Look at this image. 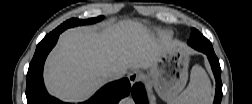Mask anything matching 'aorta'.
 Wrapping results in <instances>:
<instances>
[{
  "instance_id": "obj_1",
  "label": "aorta",
  "mask_w": 252,
  "mask_h": 104,
  "mask_svg": "<svg viewBox=\"0 0 252 104\" xmlns=\"http://www.w3.org/2000/svg\"><path fill=\"white\" fill-rule=\"evenodd\" d=\"M132 99L131 98H127V101H125V103H131Z\"/></svg>"
}]
</instances>
